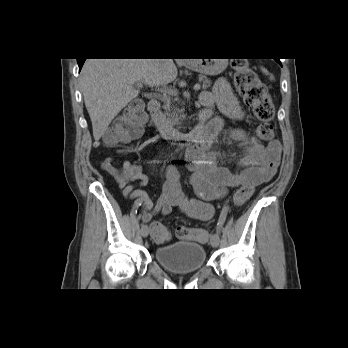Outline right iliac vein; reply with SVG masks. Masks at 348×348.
I'll return each mask as SVG.
<instances>
[{"label": "right iliac vein", "mask_w": 348, "mask_h": 348, "mask_svg": "<svg viewBox=\"0 0 348 348\" xmlns=\"http://www.w3.org/2000/svg\"><path fill=\"white\" fill-rule=\"evenodd\" d=\"M149 234V228L147 225H143L141 228V235L142 237L146 238Z\"/></svg>", "instance_id": "63e3f726"}]
</instances>
